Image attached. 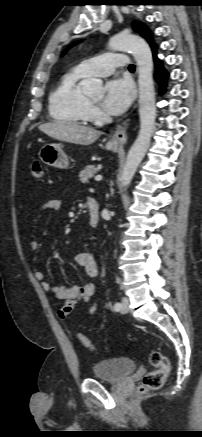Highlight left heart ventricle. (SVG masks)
Wrapping results in <instances>:
<instances>
[{
  "mask_svg": "<svg viewBox=\"0 0 202 437\" xmlns=\"http://www.w3.org/2000/svg\"><path fill=\"white\" fill-rule=\"evenodd\" d=\"M102 99V96L92 97L91 100L94 102H99Z\"/></svg>",
  "mask_w": 202,
  "mask_h": 437,
  "instance_id": "left-heart-ventricle-1",
  "label": "left heart ventricle"
}]
</instances>
